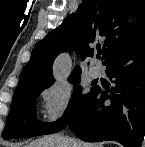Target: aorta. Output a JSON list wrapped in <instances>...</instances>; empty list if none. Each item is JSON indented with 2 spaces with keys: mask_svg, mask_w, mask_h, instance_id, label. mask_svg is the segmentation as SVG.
<instances>
[{
  "mask_svg": "<svg viewBox=\"0 0 145 147\" xmlns=\"http://www.w3.org/2000/svg\"><path fill=\"white\" fill-rule=\"evenodd\" d=\"M70 60L66 55H61L54 64V76L60 80L69 72Z\"/></svg>",
  "mask_w": 145,
  "mask_h": 147,
  "instance_id": "obj_1",
  "label": "aorta"
}]
</instances>
